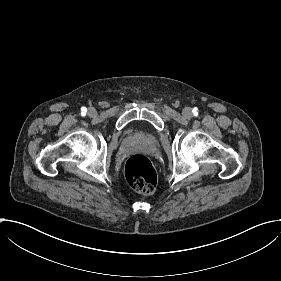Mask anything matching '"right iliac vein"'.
I'll list each match as a JSON object with an SVG mask.
<instances>
[{
    "mask_svg": "<svg viewBox=\"0 0 281 281\" xmlns=\"http://www.w3.org/2000/svg\"><path fill=\"white\" fill-rule=\"evenodd\" d=\"M88 112H89V114H90V115H92V116H93V115H95V114H96V112H97V111H96V109H95V108H93V107H92V108H90V109H89V111H88Z\"/></svg>",
    "mask_w": 281,
    "mask_h": 281,
    "instance_id": "63e3f726",
    "label": "right iliac vein"
}]
</instances>
